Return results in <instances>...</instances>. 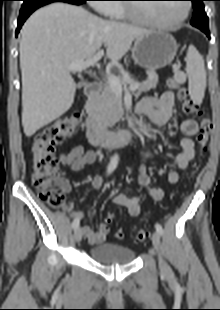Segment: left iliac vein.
<instances>
[{"label":"left iliac vein","mask_w":220,"mask_h":310,"mask_svg":"<svg viewBox=\"0 0 220 310\" xmlns=\"http://www.w3.org/2000/svg\"><path fill=\"white\" fill-rule=\"evenodd\" d=\"M152 243H153V246L158 253V262H159L160 271L163 274H168L169 273V266L164 261V259L162 258V255H161V240H160V235L158 234V232L153 233Z\"/></svg>","instance_id":"4c4485c4"}]
</instances>
